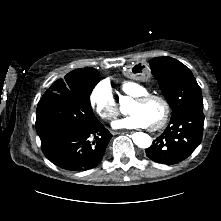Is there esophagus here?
Here are the masks:
<instances>
[{
  "label": "esophagus",
  "instance_id": "esophagus-1",
  "mask_svg": "<svg viewBox=\"0 0 221 221\" xmlns=\"http://www.w3.org/2000/svg\"><path fill=\"white\" fill-rule=\"evenodd\" d=\"M131 132V131H130ZM120 133H124V132H113L112 134L113 135H117V134H120ZM126 133V132H125ZM129 133V132H128ZM132 133V132H131Z\"/></svg>",
  "mask_w": 221,
  "mask_h": 221
}]
</instances>
